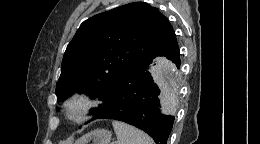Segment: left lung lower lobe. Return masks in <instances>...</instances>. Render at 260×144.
<instances>
[{
	"label": "left lung lower lobe",
	"instance_id": "0a47b994",
	"mask_svg": "<svg viewBox=\"0 0 260 144\" xmlns=\"http://www.w3.org/2000/svg\"><path fill=\"white\" fill-rule=\"evenodd\" d=\"M157 57H166L179 68L180 53L176 38L122 76L111 95L110 105L97 119L126 122L148 133L156 144H166L174 116L160 110V102H166L167 93L160 91L148 71V66Z\"/></svg>",
	"mask_w": 260,
	"mask_h": 144
}]
</instances>
